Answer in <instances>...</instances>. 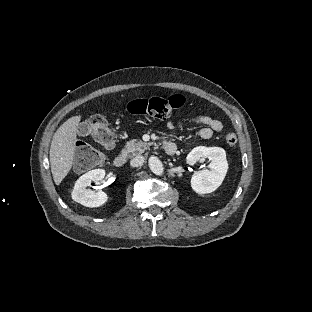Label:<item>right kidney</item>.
Listing matches in <instances>:
<instances>
[{
	"instance_id": "1",
	"label": "right kidney",
	"mask_w": 312,
	"mask_h": 312,
	"mask_svg": "<svg viewBox=\"0 0 312 312\" xmlns=\"http://www.w3.org/2000/svg\"><path fill=\"white\" fill-rule=\"evenodd\" d=\"M105 177L104 169H94L82 175L75 183L72 191V199L86 207H99L103 205L108 197L103 191L87 189L91 182H98Z\"/></svg>"
}]
</instances>
